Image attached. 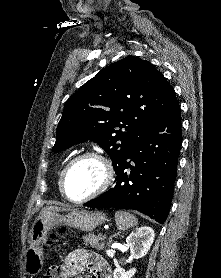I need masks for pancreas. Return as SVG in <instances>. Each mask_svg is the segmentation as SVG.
Masks as SVG:
<instances>
[{
  "mask_svg": "<svg viewBox=\"0 0 221 278\" xmlns=\"http://www.w3.org/2000/svg\"><path fill=\"white\" fill-rule=\"evenodd\" d=\"M104 238L105 237L102 235L95 236L94 234L83 236L85 245L89 244L92 248L97 250H102L104 248V243L102 242Z\"/></svg>",
  "mask_w": 221,
  "mask_h": 278,
  "instance_id": "obj_1",
  "label": "pancreas"
}]
</instances>
